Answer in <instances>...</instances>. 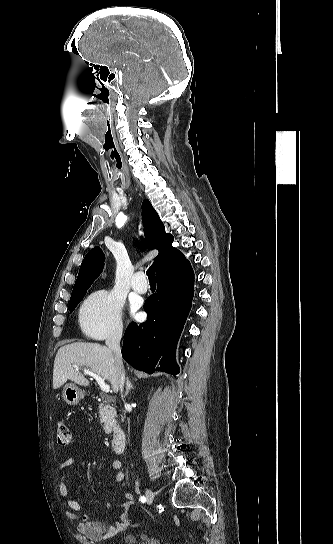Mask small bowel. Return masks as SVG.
<instances>
[{
  "instance_id": "obj_1",
  "label": "small bowel",
  "mask_w": 333,
  "mask_h": 544,
  "mask_svg": "<svg viewBox=\"0 0 333 544\" xmlns=\"http://www.w3.org/2000/svg\"><path fill=\"white\" fill-rule=\"evenodd\" d=\"M72 463L73 459L69 457L60 463L58 470L59 493L64 504L69 508L66 512L67 518L71 521H75L76 529L94 541L112 538L121 533L129 524L128 513L133 501V495L130 492L124 494V502L120 506L122 513L118 514L112 523L107 524L93 519L91 515L82 513L81 505L69 495V490L66 485V474ZM112 468L116 472L114 484L121 483L125 477L122 463L119 460H114L112 462ZM110 505V502L106 501L107 509L110 508Z\"/></svg>"
}]
</instances>
